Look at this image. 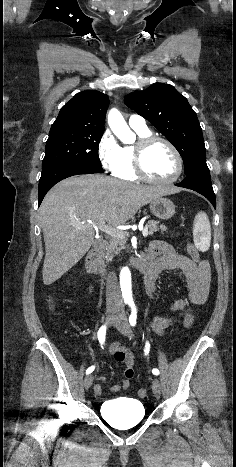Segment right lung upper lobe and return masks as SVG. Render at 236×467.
Returning <instances> with one entry per match:
<instances>
[{
	"mask_svg": "<svg viewBox=\"0 0 236 467\" xmlns=\"http://www.w3.org/2000/svg\"><path fill=\"white\" fill-rule=\"evenodd\" d=\"M108 105V96L101 92L83 91L77 93L61 108L51 128L66 127L104 131Z\"/></svg>",
	"mask_w": 236,
	"mask_h": 467,
	"instance_id": "1",
	"label": "right lung upper lobe"
}]
</instances>
